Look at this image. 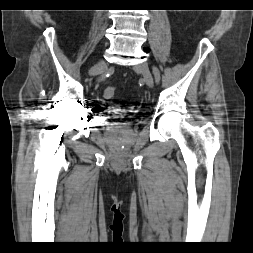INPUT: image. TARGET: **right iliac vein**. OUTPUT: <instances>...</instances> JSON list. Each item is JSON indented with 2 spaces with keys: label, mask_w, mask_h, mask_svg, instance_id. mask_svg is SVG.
<instances>
[{
  "label": "right iliac vein",
  "mask_w": 253,
  "mask_h": 253,
  "mask_svg": "<svg viewBox=\"0 0 253 253\" xmlns=\"http://www.w3.org/2000/svg\"><path fill=\"white\" fill-rule=\"evenodd\" d=\"M106 68V63L104 60H99L94 66L93 68L90 70V74L92 75H97V74H101L104 72Z\"/></svg>",
  "instance_id": "63e3f726"
}]
</instances>
